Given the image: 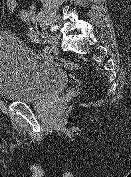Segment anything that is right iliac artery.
<instances>
[{
  "label": "right iliac artery",
  "instance_id": "1",
  "mask_svg": "<svg viewBox=\"0 0 131 177\" xmlns=\"http://www.w3.org/2000/svg\"><path fill=\"white\" fill-rule=\"evenodd\" d=\"M20 17H21L22 21H24L25 23H27L29 25L28 36H29L30 40L34 43H40L41 39L39 38L37 32L30 25L29 13L26 10H22L20 12ZM43 50L46 53H50L51 48L48 45H46V46H44Z\"/></svg>",
  "mask_w": 131,
  "mask_h": 177
}]
</instances>
